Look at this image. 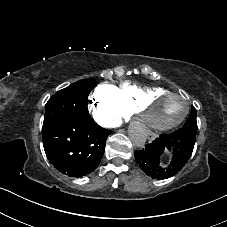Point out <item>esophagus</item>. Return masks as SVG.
Here are the masks:
<instances>
[{
  "label": "esophagus",
  "instance_id": "esophagus-1",
  "mask_svg": "<svg viewBox=\"0 0 227 227\" xmlns=\"http://www.w3.org/2000/svg\"><path fill=\"white\" fill-rule=\"evenodd\" d=\"M146 140H147L148 142H153V141L155 140V135H154L153 133H148V134L146 135Z\"/></svg>",
  "mask_w": 227,
  "mask_h": 227
}]
</instances>
